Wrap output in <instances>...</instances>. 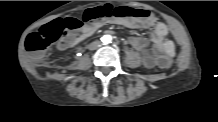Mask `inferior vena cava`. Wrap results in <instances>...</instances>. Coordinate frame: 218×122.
<instances>
[{"instance_id": "1", "label": "inferior vena cava", "mask_w": 218, "mask_h": 122, "mask_svg": "<svg viewBox=\"0 0 218 122\" xmlns=\"http://www.w3.org/2000/svg\"><path fill=\"white\" fill-rule=\"evenodd\" d=\"M100 45H99V42H97V41H95V42H93V43H91V45H90V49H96L97 47H99Z\"/></svg>"}]
</instances>
